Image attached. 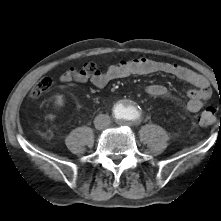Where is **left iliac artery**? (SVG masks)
Wrapping results in <instances>:
<instances>
[{
    "instance_id": "44dca946",
    "label": "left iliac artery",
    "mask_w": 221,
    "mask_h": 221,
    "mask_svg": "<svg viewBox=\"0 0 221 221\" xmlns=\"http://www.w3.org/2000/svg\"><path fill=\"white\" fill-rule=\"evenodd\" d=\"M139 117V114L137 112H134L130 115V119H137Z\"/></svg>"
}]
</instances>
